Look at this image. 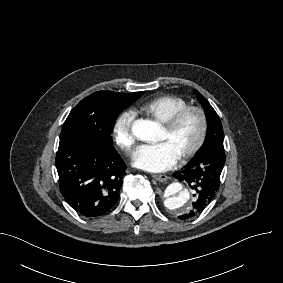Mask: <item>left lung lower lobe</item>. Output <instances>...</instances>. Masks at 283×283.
<instances>
[{"instance_id":"0a47b994","label":"left lung lower lobe","mask_w":283,"mask_h":283,"mask_svg":"<svg viewBox=\"0 0 283 283\" xmlns=\"http://www.w3.org/2000/svg\"><path fill=\"white\" fill-rule=\"evenodd\" d=\"M224 162L223 144H206L183 170L173 174L180 181H186L195 192L192 210L179 218H193L208 206L218 191Z\"/></svg>"}]
</instances>
